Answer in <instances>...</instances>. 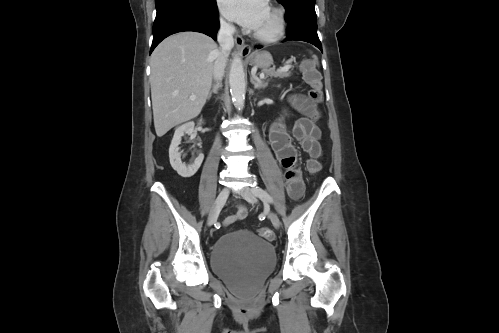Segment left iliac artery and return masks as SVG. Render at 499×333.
Wrapping results in <instances>:
<instances>
[{
	"label": "left iliac artery",
	"mask_w": 499,
	"mask_h": 333,
	"mask_svg": "<svg viewBox=\"0 0 499 333\" xmlns=\"http://www.w3.org/2000/svg\"><path fill=\"white\" fill-rule=\"evenodd\" d=\"M252 190L254 194L257 197H259L263 202L273 203V198L264 189L260 187H254Z\"/></svg>",
	"instance_id": "44dca946"
}]
</instances>
